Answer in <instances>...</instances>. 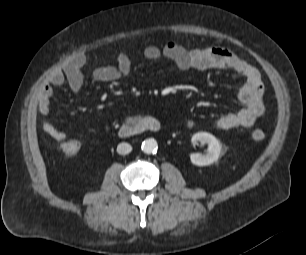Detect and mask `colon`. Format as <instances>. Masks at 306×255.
Wrapping results in <instances>:
<instances>
[{"label": "colon", "instance_id": "1", "mask_svg": "<svg viewBox=\"0 0 306 255\" xmlns=\"http://www.w3.org/2000/svg\"><path fill=\"white\" fill-rule=\"evenodd\" d=\"M251 137L255 141H261L265 138V132L260 128H256L251 132ZM60 149L64 156L74 157L79 152L80 144L76 140H68L61 143Z\"/></svg>", "mask_w": 306, "mask_h": 255}]
</instances>
